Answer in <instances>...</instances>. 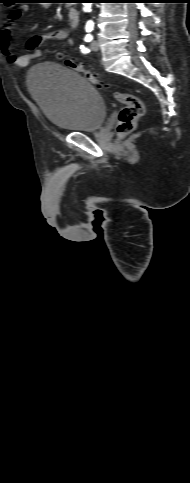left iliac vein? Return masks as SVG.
I'll use <instances>...</instances> for the list:
<instances>
[{
	"mask_svg": "<svg viewBox=\"0 0 190 483\" xmlns=\"http://www.w3.org/2000/svg\"><path fill=\"white\" fill-rule=\"evenodd\" d=\"M90 48H91L93 51H98V50H99V44H98V41L93 40V41L91 42Z\"/></svg>",
	"mask_w": 190,
	"mask_h": 483,
	"instance_id": "obj_1",
	"label": "left iliac vein"
}]
</instances>
